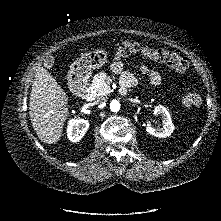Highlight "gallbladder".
<instances>
[{"label":"gallbladder","instance_id":"1","mask_svg":"<svg viewBox=\"0 0 221 221\" xmlns=\"http://www.w3.org/2000/svg\"><path fill=\"white\" fill-rule=\"evenodd\" d=\"M45 66L50 69L51 71H55L56 68L54 67V58L52 56L46 57L45 59Z\"/></svg>","mask_w":221,"mask_h":221}]
</instances>
